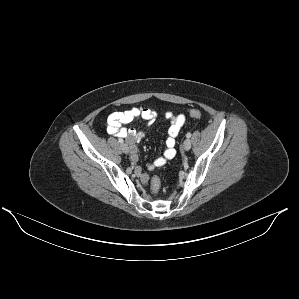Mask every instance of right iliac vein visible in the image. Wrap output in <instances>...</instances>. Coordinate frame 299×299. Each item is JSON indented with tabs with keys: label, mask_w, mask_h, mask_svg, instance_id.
Wrapping results in <instances>:
<instances>
[{
	"label": "right iliac vein",
	"mask_w": 299,
	"mask_h": 299,
	"mask_svg": "<svg viewBox=\"0 0 299 299\" xmlns=\"http://www.w3.org/2000/svg\"><path fill=\"white\" fill-rule=\"evenodd\" d=\"M121 149H122V151H123L125 154H128V153H129V147H128L127 144L122 143V144H121Z\"/></svg>",
	"instance_id": "obj_1"
}]
</instances>
